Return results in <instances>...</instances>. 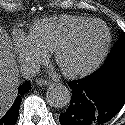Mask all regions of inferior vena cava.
Wrapping results in <instances>:
<instances>
[{
    "label": "inferior vena cava",
    "instance_id": "602c4592",
    "mask_svg": "<svg viewBox=\"0 0 125 125\" xmlns=\"http://www.w3.org/2000/svg\"><path fill=\"white\" fill-rule=\"evenodd\" d=\"M39 67L35 65V63H29L27 66H25L22 70V74L25 78H31L37 74L39 71Z\"/></svg>",
    "mask_w": 125,
    "mask_h": 125
}]
</instances>
